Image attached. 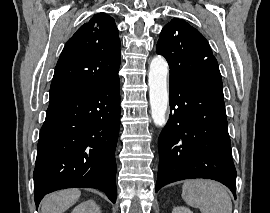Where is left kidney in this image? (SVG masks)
<instances>
[{"label":"left kidney","mask_w":270,"mask_h":213,"mask_svg":"<svg viewBox=\"0 0 270 213\" xmlns=\"http://www.w3.org/2000/svg\"><path fill=\"white\" fill-rule=\"evenodd\" d=\"M172 213H193L189 208L184 206H177L173 208Z\"/></svg>","instance_id":"5707ae66"}]
</instances>
